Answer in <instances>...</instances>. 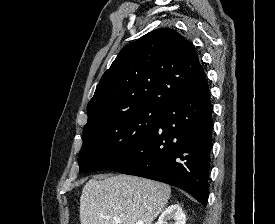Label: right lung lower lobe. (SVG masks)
<instances>
[{
  "mask_svg": "<svg viewBox=\"0 0 275 224\" xmlns=\"http://www.w3.org/2000/svg\"><path fill=\"white\" fill-rule=\"evenodd\" d=\"M212 104L204 74L163 111L152 133L108 169L164 182L206 206Z\"/></svg>",
  "mask_w": 275,
  "mask_h": 224,
  "instance_id": "obj_1",
  "label": "right lung lower lobe"
}]
</instances>
